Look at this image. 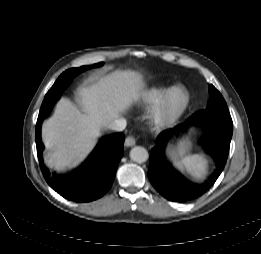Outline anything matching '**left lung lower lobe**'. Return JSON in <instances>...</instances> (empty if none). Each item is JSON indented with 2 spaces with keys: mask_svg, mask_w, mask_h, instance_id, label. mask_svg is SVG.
Wrapping results in <instances>:
<instances>
[{
  "mask_svg": "<svg viewBox=\"0 0 261 254\" xmlns=\"http://www.w3.org/2000/svg\"><path fill=\"white\" fill-rule=\"evenodd\" d=\"M195 123H201L204 129L201 144L211 154L216 164L215 172L210 176V179L202 184L187 181L166 161L165 157V148L169 139ZM232 133V120L225 121L210 118L198 121H191L189 118L184 124L163 131L158 135L156 139L157 146L152 149L150 154L148 171L150 182L163 197L170 201L188 202L202 196L211 188L224 169L229 154Z\"/></svg>",
  "mask_w": 261,
  "mask_h": 254,
  "instance_id": "0a47b994",
  "label": "left lung lower lobe"
}]
</instances>
